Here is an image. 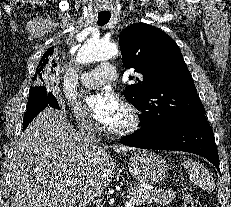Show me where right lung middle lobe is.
<instances>
[{"mask_svg": "<svg viewBox=\"0 0 231 207\" xmlns=\"http://www.w3.org/2000/svg\"><path fill=\"white\" fill-rule=\"evenodd\" d=\"M45 87L43 86H35L32 87L29 91V100L28 103L32 102L34 100L35 94L39 92L40 90L44 89Z\"/></svg>", "mask_w": 231, "mask_h": 207, "instance_id": "1", "label": "right lung middle lobe"}]
</instances>
